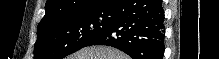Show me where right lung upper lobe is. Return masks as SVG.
I'll list each match as a JSON object with an SVG mask.
<instances>
[{"label": "right lung upper lobe", "instance_id": "obj_1", "mask_svg": "<svg viewBox=\"0 0 219 59\" xmlns=\"http://www.w3.org/2000/svg\"><path fill=\"white\" fill-rule=\"evenodd\" d=\"M118 0H47L40 24L59 18L113 9ZM39 24V25H40Z\"/></svg>", "mask_w": 219, "mask_h": 59}]
</instances>
